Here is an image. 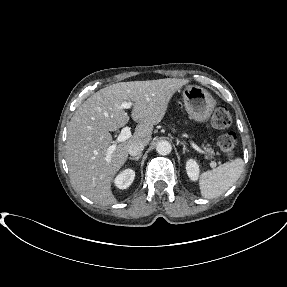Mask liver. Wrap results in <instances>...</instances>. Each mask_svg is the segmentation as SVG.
<instances>
[{
    "label": "liver",
    "mask_w": 287,
    "mask_h": 287,
    "mask_svg": "<svg viewBox=\"0 0 287 287\" xmlns=\"http://www.w3.org/2000/svg\"><path fill=\"white\" fill-rule=\"evenodd\" d=\"M186 84L188 80L176 78L120 82L90 96L67 128L65 159L74 189L103 207L115 204L111 184L128 158L129 146L149 144L153 126L161 122L171 98ZM124 101L133 103L131 117L138 124L133 135L108 154L114 144L110 132L129 121L128 113L119 108Z\"/></svg>",
    "instance_id": "1"
}]
</instances>
